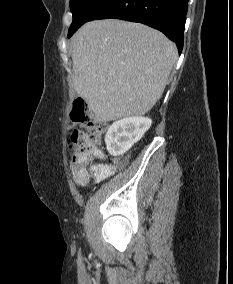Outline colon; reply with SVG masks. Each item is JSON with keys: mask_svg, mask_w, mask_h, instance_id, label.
I'll return each instance as SVG.
<instances>
[{"mask_svg": "<svg viewBox=\"0 0 233 284\" xmlns=\"http://www.w3.org/2000/svg\"><path fill=\"white\" fill-rule=\"evenodd\" d=\"M71 119L83 128L73 130L70 136L73 153L72 174L78 184L84 178L90 161L104 156L98 148V143L107 125L92 114L83 99H76L73 102Z\"/></svg>", "mask_w": 233, "mask_h": 284, "instance_id": "obj_1", "label": "colon"}]
</instances>
